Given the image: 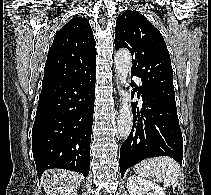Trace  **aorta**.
Masks as SVG:
<instances>
[{
	"label": "aorta",
	"instance_id": "obj_1",
	"mask_svg": "<svg viewBox=\"0 0 211 195\" xmlns=\"http://www.w3.org/2000/svg\"><path fill=\"white\" fill-rule=\"evenodd\" d=\"M115 69L117 77L120 83L125 87V90H121L122 105L118 115V134L122 139H126L132 129L133 116L130 105L131 95L129 91V74L132 67V57L128 50L120 49L114 57Z\"/></svg>",
	"mask_w": 211,
	"mask_h": 195
}]
</instances>
